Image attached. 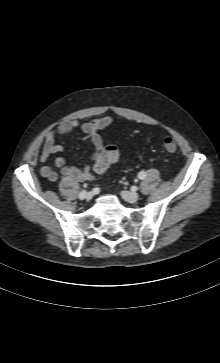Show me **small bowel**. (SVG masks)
Segmentation results:
<instances>
[{"instance_id": "small-bowel-1", "label": "small bowel", "mask_w": 220, "mask_h": 363, "mask_svg": "<svg viewBox=\"0 0 220 363\" xmlns=\"http://www.w3.org/2000/svg\"><path fill=\"white\" fill-rule=\"evenodd\" d=\"M111 123L109 117H98L89 121L79 123L77 120H67L62 122L57 128L50 130L45 138L40 161L46 162L57 153H66L64 147L56 144L58 135H65L76 128H80L85 134V140L92 143L95 151L91 158V164L83 169L74 165H66L63 158H56L55 165L59 171L53 170L50 166H43L40 174L49 181H57L59 174L77 181H94L98 169L107 167L103 164L104 137L99 131L105 129Z\"/></svg>"}]
</instances>
